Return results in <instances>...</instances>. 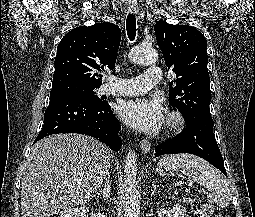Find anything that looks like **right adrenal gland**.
Instances as JSON below:
<instances>
[{
    "label": "right adrenal gland",
    "instance_id": "right-adrenal-gland-1",
    "mask_svg": "<svg viewBox=\"0 0 255 217\" xmlns=\"http://www.w3.org/2000/svg\"><path fill=\"white\" fill-rule=\"evenodd\" d=\"M111 193V182L109 175L105 178L103 188L98 191L97 195H102L103 200L106 201L110 198Z\"/></svg>",
    "mask_w": 255,
    "mask_h": 217
}]
</instances>
